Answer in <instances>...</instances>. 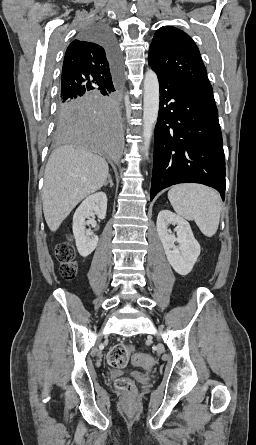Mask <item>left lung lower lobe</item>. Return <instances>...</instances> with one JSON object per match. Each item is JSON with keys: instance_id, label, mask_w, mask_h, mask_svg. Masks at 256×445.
<instances>
[{"instance_id": "left-lung-lower-lobe-1", "label": "left lung lower lobe", "mask_w": 256, "mask_h": 445, "mask_svg": "<svg viewBox=\"0 0 256 445\" xmlns=\"http://www.w3.org/2000/svg\"><path fill=\"white\" fill-rule=\"evenodd\" d=\"M160 108L155 127L150 200L178 183H201L225 197V159L213 93L177 77L158 75Z\"/></svg>"}]
</instances>
